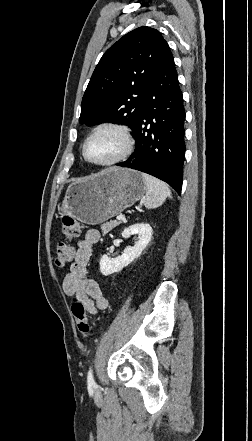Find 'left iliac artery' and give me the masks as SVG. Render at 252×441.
I'll return each instance as SVG.
<instances>
[{
  "label": "left iliac artery",
  "mask_w": 252,
  "mask_h": 441,
  "mask_svg": "<svg viewBox=\"0 0 252 441\" xmlns=\"http://www.w3.org/2000/svg\"><path fill=\"white\" fill-rule=\"evenodd\" d=\"M87 382H88V384H95L91 368L89 369V372H88Z\"/></svg>",
  "instance_id": "44dca946"
}]
</instances>
